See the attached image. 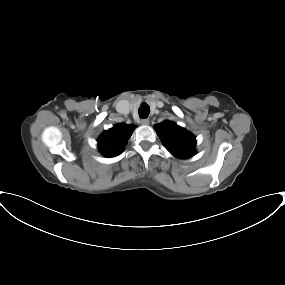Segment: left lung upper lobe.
<instances>
[{"mask_svg":"<svg viewBox=\"0 0 285 285\" xmlns=\"http://www.w3.org/2000/svg\"><path fill=\"white\" fill-rule=\"evenodd\" d=\"M154 129L164 147L174 156L187 159L195 155L196 139L186 129L171 121L159 123Z\"/></svg>","mask_w":285,"mask_h":285,"instance_id":"5c2ea615","label":"left lung upper lobe"}]
</instances>
